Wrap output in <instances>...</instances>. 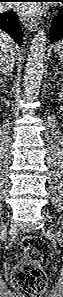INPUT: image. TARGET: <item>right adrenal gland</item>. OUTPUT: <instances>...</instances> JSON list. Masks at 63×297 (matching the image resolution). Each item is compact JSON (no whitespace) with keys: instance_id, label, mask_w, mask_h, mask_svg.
Segmentation results:
<instances>
[{"instance_id":"1","label":"right adrenal gland","mask_w":63,"mask_h":297,"mask_svg":"<svg viewBox=\"0 0 63 297\" xmlns=\"http://www.w3.org/2000/svg\"><path fill=\"white\" fill-rule=\"evenodd\" d=\"M5 80V79H4ZM3 79L0 80L1 87L5 86V82Z\"/></svg>"}]
</instances>
